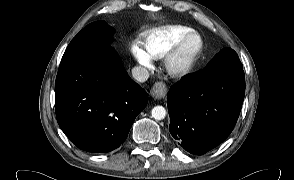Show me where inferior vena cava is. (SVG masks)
<instances>
[{"mask_svg":"<svg viewBox=\"0 0 294 180\" xmlns=\"http://www.w3.org/2000/svg\"><path fill=\"white\" fill-rule=\"evenodd\" d=\"M132 76L138 82H145L149 78V72L141 66H136L132 69Z\"/></svg>","mask_w":294,"mask_h":180,"instance_id":"1","label":"inferior vena cava"}]
</instances>
